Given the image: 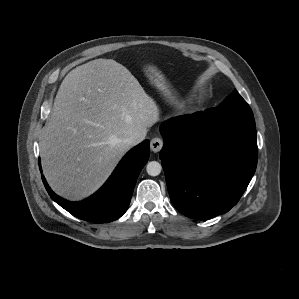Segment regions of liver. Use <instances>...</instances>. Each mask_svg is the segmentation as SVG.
<instances>
[{"label": "liver", "mask_w": 299, "mask_h": 299, "mask_svg": "<svg viewBox=\"0 0 299 299\" xmlns=\"http://www.w3.org/2000/svg\"><path fill=\"white\" fill-rule=\"evenodd\" d=\"M159 110L122 64L95 59L70 71L56 95L40 141L44 175L61 197L77 201L95 192Z\"/></svg>", "instance_id": "liver-1"}]
</instances>
